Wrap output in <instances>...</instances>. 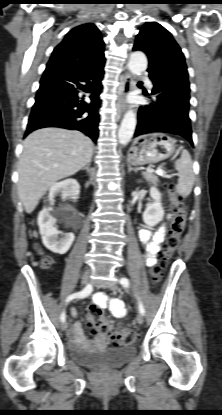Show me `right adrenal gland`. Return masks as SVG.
I'll return each instance as SVG.
<instances>
[{
  "instance_id": "obj_1",
  "label": "right adrenal gland",
  "mask_w": 222,
  "mask_h": 415,
  "mask_svg": "<svg viewBox=\"0 0 222 415\" xmlns=\"http://www.w3.org/2000/svg\"><path fill=\"white\" fill-rule=\"evenodd\" d=\"M83 170H87V172L88 173H90L91 172V169H90V163H88L84 168H82Z\"/></svg>"
}]
</instances>
